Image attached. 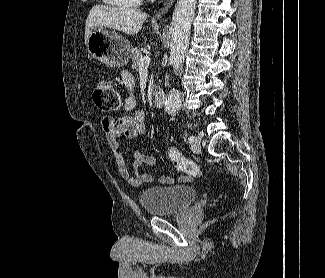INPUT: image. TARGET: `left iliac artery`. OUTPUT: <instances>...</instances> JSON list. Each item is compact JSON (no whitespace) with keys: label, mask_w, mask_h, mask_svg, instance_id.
Wrapping results in <instances>:
<instances>
[{"label":"left iliac artery","mask_w":325,"mask_h":278,"mask_svg":"<svg viewBox=\"0 0 325 278\" xmlns=\"http://www.w3.org/2000/svg\"><path fill=\"white\" fill-rule=\"evenodd\" d=\"M188 141H189L190 143H194V142L196 141V138H195L194 136H189V137H188Z\"/></svg>","instance_id":"left-iliac-artery-1"}]
</instances>
